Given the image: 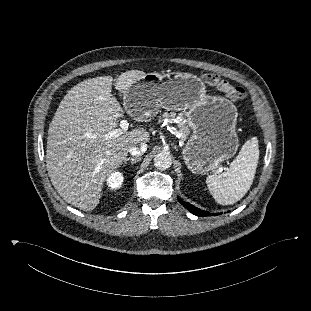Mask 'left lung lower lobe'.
Listing matches in <instances>:
<instances>
[{
  "label": "left lung lower lobe",
  "instance_id": "left-lung-lower-lobe-1",
  "mask_svg": "<svg viewBox=\"0 0 311 311\" xmlns=\"http://www.w3.org/2000/svg\"><path fill=\"white\" fill-rule=\"evenodd\" d=\"M178 200H179V202L185 207V208H187L192 214H194V215H197V216H207V215H209V213H207V212H205V211H203V210H200V209H198V208H196V207H194L193 205H191V204H189V203H187V202H184L182 199H180V198H178ZM214 216L215 215H218V213H214L213 214Z\"/></svg>",
  "mask_w": 311,
  "mask_h": 311
}]
</instances>
